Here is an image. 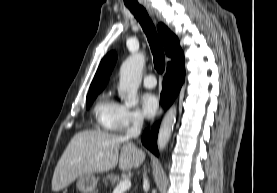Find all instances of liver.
<instances>
[{
  "instance_id": "6515ba94",
  "label": "liver",
  "mask_w": 277,
  "mask_h": 193,
  "mask_svg": "<svg viewBox=\"0 0 277 193\" xmlns=\"http://www.w3.org/2000/svg\"><path fill=\"white\" fill-rule=\"evenodd\" d=\"M144 159L145 153L125 136L100 130L79 132L57 163L52 190L58 192L80 176L111 170L118 163L121 170L138 168Z\"/></svg>"
}]
</instances>
